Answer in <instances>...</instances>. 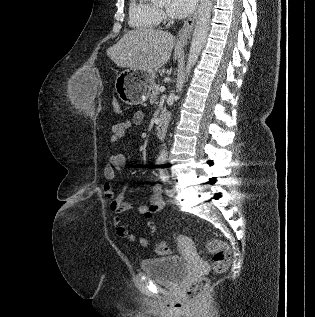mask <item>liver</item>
<instances>
[{
  "mask_svg": "<svg viewBox=\"0 0 315 317\" xmlns=\"http://www.w3.org/2000/svg\"><path fill=\"white\" fill-rule=\"evenodd\" d=\"M174 47V60L179 61L183 58V50L171 33L136 29L125 33L106 53L118 67L157 71L169 61Z\"/></svg>",
  "mask_w": 315,
  "mask_h": 317,
  "instance_id": "6515ba94",
  "label": "liver"
}]
</instances>
